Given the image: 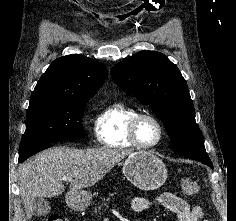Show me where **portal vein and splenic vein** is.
<instances>
[{
	"instance_id": "18ae733b",
	"label": "portal vein and splenic vein",
	"mask_w": 236,
	"mask_h": 221,
	"mask_svg": "<svg viewBox=\"0 0 236 221\" xmlns=\"http://www.w3.org/2000/svg\"><path fill=\"white\" fill-rule=\"evenodd\" d=\"M65 181H71L72 178H64Z\"/></svg>"
}]
</instances>
